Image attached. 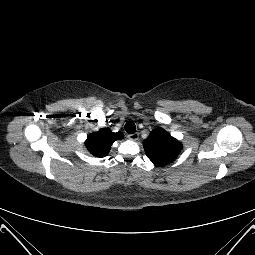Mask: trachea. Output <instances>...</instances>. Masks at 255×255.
<instances>
[{
  "label": "trachea",
  "instance_id": "trachea-1",
  "mask_svg": "<svg viewBox=\"0 0 255 255\" xmlns=\"http://www.w3.org/2000/svg\"><path fill=\"white\" fill-rule=\"evenodd\" d=\"M125 130L129 134H133L136 131V126L133 122L129 121L125 124Z\"/></svg>",
  "mask_w": 255,
  "mask_h": 255
}]
</instances>
